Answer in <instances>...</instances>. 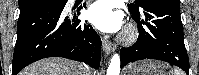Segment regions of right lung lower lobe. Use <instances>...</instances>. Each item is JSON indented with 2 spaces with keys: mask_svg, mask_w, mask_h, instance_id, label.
Segmentation results:
<instances>
[{
  "mask_svg": "<svg viewBox=\"0 0 199 75\" xmlns=\"http://www.w3.org/2000/svg\"><path fill=\"white\" fill-rule=\"evenodd\" d=\"M66 3L67 0H42L19 4L12 75L46 57H64L99 68L100 37L91 25L81 24L75 17L72 22L63 18Z\"/></svg>",
  "mask_w": 199,
  "mask_h": 75,
  "instance_id": "1",
  "label": "right lung lower lobe"
}]
</instances>
